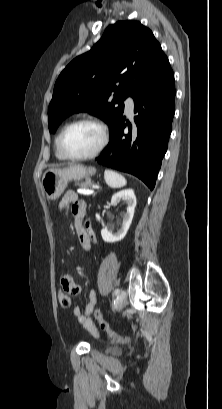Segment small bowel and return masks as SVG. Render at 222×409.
<instances>
[{
	"mask_svg": "<svg viewBox=\"0 0 222 409\" xmlns=\"http://www.w3.org/2000/svg\"><path fill=\"white\" fill-rule=\"evenodd\" d=\"M60 209L66 210L71 209L74 215V225L78 236V239L86 250H91L92 244L95 241L94 234L88 223H84L83 218L86 210V204L84 201L79 200L78 196L73 191H68L65 193L63 199L60 202ZM62 286H70L68 290V295L70 297H77L80 292V286L78 282H75L71 275H65L61 281ZM97 295L94 290H91L88 295V301L85 309L82 310L79 306L73 309L74 316L78 319L79 323L92 330L95 334L96 331L93 326L92 315L97 308Z\"/></svg>",
	"mask_w": 222,
	"mask_h": 409,
	"instance_id": "1",
	"label": "small bowel"
}]
</instances>
